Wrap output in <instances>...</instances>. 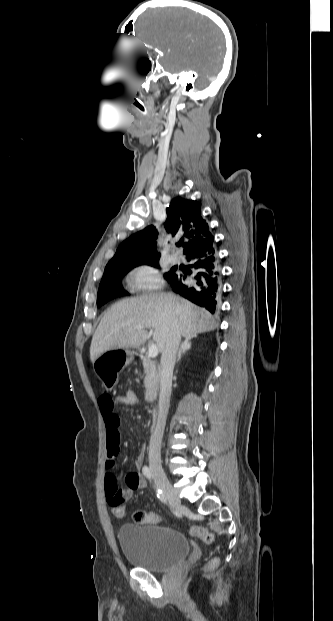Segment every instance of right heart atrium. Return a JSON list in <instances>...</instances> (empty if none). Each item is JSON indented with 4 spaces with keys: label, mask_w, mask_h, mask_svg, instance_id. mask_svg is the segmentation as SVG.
Masks as SVG:
<instances>
[{
    "label": "right heart atrium",
    "mask_w": 333,
    "mask_h": 621,
    "mask_svg": "<svg viewBox=\"0 0 333 621\" xmlns=\"http://www.w3.org/2000/svg\"><path fill=\"white\" fill-rule=\"evenodd\" d=\"M128 286L135 292H151L162 287V280L155 267L143 264L130 273Z\"/></svg>",
    "instance_id": "obj_1"
}]
</instances>
